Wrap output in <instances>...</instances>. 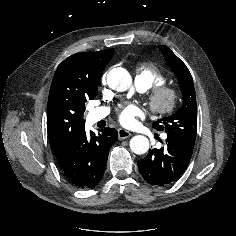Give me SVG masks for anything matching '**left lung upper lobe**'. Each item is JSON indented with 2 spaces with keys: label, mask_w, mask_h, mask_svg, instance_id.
<instances>
[{
  "label": "left lung upper lobe",
  "mask_w": 236,
  "mask_h": 236,
  "mask_svg": "<svg viewBox=\"0 0 236 236\" xmlns=\"http://www.w3.org/2000/svg\"><path fill=\"white\" fill-rule=\"evenodd\" d=\"M165 60L178 78L183 104L177 112L153 123L157 131H165L167 138L193 149L196 138V96L192 76L186 65L166 46L161 45Z\"/></svg>",
  "instance_id": "5c2ea615"
}]
</instances>
